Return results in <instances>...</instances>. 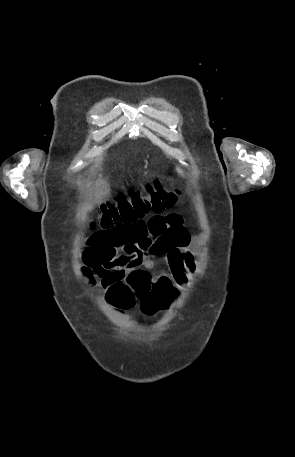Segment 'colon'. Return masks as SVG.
<instances>
[{
  "label": "colon",
  "mask_w": 295,
  "mask_h": 457,
  "mask_svg": "<svg viewBox=\"0 0 295 457\" xmlns=\"http://www.w3.org/2000/svg\"><path fill=\"white\" fill-rule=\"evenodd\" d=\"M176 201V193L163 188L160 181L148 183L144 189H131L118 195L114 201L102 206L96 223L103 229L131 225L151 212L159 213L171 208ZM140 253L135 246H129L120 255L110 254L94 263L92 269L84 267L86 276H97L108 286L107 298L117 309L131 307L135 298L141 300L142 309L153 314L164 307L173 294L169 281L151 285L149 282L137 287L135 293L123 283L127 269L136 265V255Z\"/></svg>",
  "instance_id": "1"
}]
</instances>
